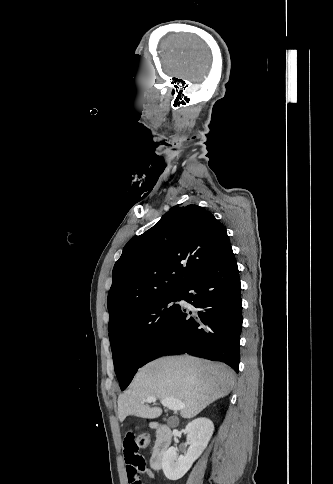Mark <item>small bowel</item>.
I'll return each mask as SVG.
<instances>
[{
    "label": "small bowel",
    "mask_w": 333,
    "mask_h": 484,
    "mask_svg": "<svg viewBox=\"0 0 333 484\" xmlns=\"http://www.w3.org/2000/svg\"><path fill=\"white\" fill-rule=\"evenodd\" d=\"M124 458L127 466L128 483L142 484L141 476L154 477L151 469L146 466L145 459L139 453V447L132 433H127L124 442Z\"/></svg>",
    "instance_id": "small-bowel-1"
}]
</instances>
